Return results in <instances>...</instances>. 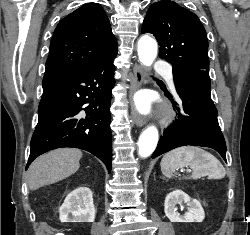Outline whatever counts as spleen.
Returning <instances> with one entry per match:
<instances>
[{"instance_id": "1", "label": "spleen", "mask_w": 250, "mask_h": 235, "mask_svg": "<svg viewBox=\"0 0 250 235\" xmlns=\"http://www.w3.org/2000/svg\"><path fill=\"white\" fill-rule=\"evenodd\" d=\"M190 167V178L198 179L208 176L210 179H222L226 175L221 162L209 152L193 146H185L174 149L165 154L161 160V171L168 177L176 176V170L182 167Z\"/></svg>"}]
</instances>
